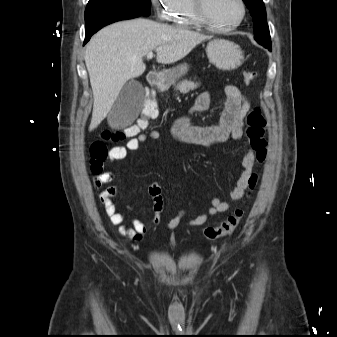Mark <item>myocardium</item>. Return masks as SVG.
I'll use <instances>...</instances> for the list:
<instances>
[{
	"mask_svg": "<svg viewBox=\"0 0 337 337\" xmlns=\"http://www.w3.org/2000/svg\"><path fill=\"white\" fill-rule=\"evenodd\" d=\"M238 3L241 7V15L239 19L233 24L223 26L218 25L209 19L205 9V0H192L193 10L197 20L208 29L216 32H229L236 29L243 23L246 18L247 7L244 0H238Z\"/></svg>",
	"mask_w": 337,
	"mask_h": 337,
	"instance_id": "1",
	"label": "myocardium"
}]
</instances>
